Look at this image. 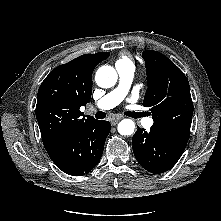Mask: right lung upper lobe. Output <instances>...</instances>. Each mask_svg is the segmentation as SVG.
<instances>
[{"instance_id":"1","label":"right lung upper lobe","mask_w":221,"mask_h":221,"mask_svg":"<svg viewBox=\"0 0 221 221\" xmlns=\"http://www.w3.org/2000/svg\"><path fill=\"white\" fill-rule=\"evenodd\" d=\"M107 52L85 54L52 70L37 94L36 118L45 149L74 134L95 119L82 117L92 94V73Z\"/></svg>"}]
</instances>
